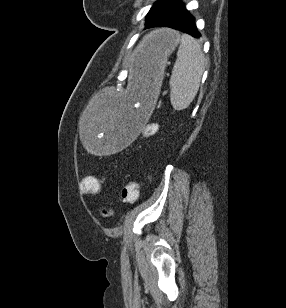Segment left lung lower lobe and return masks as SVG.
Wrapping results in <instances>:
<instances>
[{"label": "left lung lower lobe", "instance_id": "0a47b994", "mask_svg": "<svg viewBox=\"0 0 286 308\" xmlns=\"http://www.w3.org/2000/svg\"><path fill=\"white\" fill-rule=\"evenodd\" d=\"M156 26L178 29L196 38L200 36L194 18L186 10L181 0H172L169 6L160 11L147 28Z\"/></svg>", "mask_w": 286, "mask_h": 308}]
</instances>
